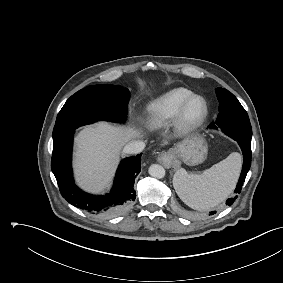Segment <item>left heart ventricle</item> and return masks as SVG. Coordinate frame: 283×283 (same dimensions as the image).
Masks as SVG:
<instances>
[{"instance_id": "1", "label": "left heart ventricle", "mask_w": 283, "mask_h": 283, "mask_svg": "<svg viewBox=\"0 0 283 283\" xmlns=\"http://www.w3.org/2000/svg\"><path fill=\"white\" fill-rule=\"evenodd\" d=\"M199 110H200L199 102L193 101L188 108V114H189V116H192V117L196 116L197 113L199 112Z\"/></svg>"}]
</instances>
